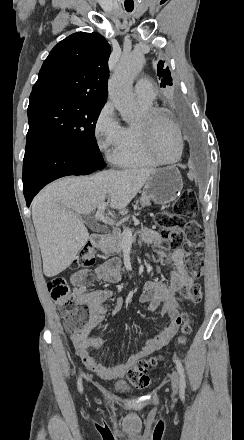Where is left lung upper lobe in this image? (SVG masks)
<instances>
[{
    "label": "left lung upper lobe",
    "mask_w": 244,
    "mask_h": 440,
    "mask_svg": "<svg viewBox=\"0 0 244 440\" xmlns=\"http://www.w3.org/2000/svg\"><path fill=\"white\" fill-rule=\"evenodd\" d=\"M157 75L161 78L160 87L165 88L166 86L172 85V77L169 68H165L164 61H159L157 65Z\"/></svg>",
    "instance_id": "1"
}]
</instances>
